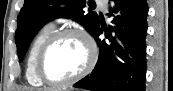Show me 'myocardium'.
I'll return each mask as SVG.
<instances>
[{
    "instance_id": "myocardium-1",
    "label": "myocardium",
    "mask_w": 173,
    "mask_h": 91,
    "mask_svg": "<svg viewBox=\"0 0 173 91\" xmlns=\"http://www.w3.org/2000/svg\"><path fill=\"white\" fill-rule=\"evenodd\" d=\"M67 35H75L80 37L86 44L87 47V62L83 69L75 74L74 76L61 80V81H53L46 77L43 70V61L46 56L47 51L51 47V45L57 41L58 39L67 36ZM98 59V48L94 41V39L83 29L68 27L63 28L61 30L54 31L51 33L46 40L41 45L35 60V71L37 77L46 85L51 87H64L70 84L75 83L76 81L87 76L94 68Z\"/></svg>"
}]
</instances>
